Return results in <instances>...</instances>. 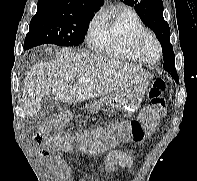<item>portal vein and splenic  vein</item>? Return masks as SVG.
<instances>
[{"mask_svg":"<svg viewBox=\"0 0 197 181\" xmlns=\"http://www.w3.org/2000/svg\"><path fill=\"white\" fill-rule=\"evenodd\" d=\"M80 81H83V82H89L90 79L89 78H79Z\"/></svg>","mask_w":197,"mask_h":181,"instance_id":"portal-vein-and-splenic-vein-1","label":"portal vein and splenic vein"}]
</instances>
